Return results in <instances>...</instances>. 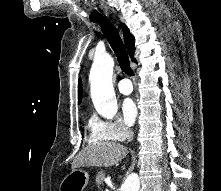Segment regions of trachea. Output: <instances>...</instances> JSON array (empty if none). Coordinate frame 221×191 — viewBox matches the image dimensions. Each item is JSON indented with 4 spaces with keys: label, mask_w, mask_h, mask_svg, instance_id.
I'll return each instance as SVG.
<instances>
[{
    "label": "trachea",
    "mask_w": 221,
    "mask_h": 191,
    "mask_svg": "<svg viewBox=\"0 0 221 191\" xmlns=\"http://www.w3.org/2000/svg\"><path fill=\"white\" fill-rule=\"evenodd\" d=\"M93 22L101 26L102 32L104 33L105 37L107 38L117 56L121 70L129 76H133L134 72L130 67V61L126 48L116 28L109 20L104 17L93 20Z\"/></svg>",
    "instance_id": "trachea-1"
}]
</instances>
